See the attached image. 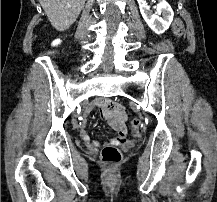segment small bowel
<instances>
[{"label":"small bowel","instance_id":"obj_1","mask_svg":"<svg viewBox=\"0 0 217 202\" xmlns=\"http://www.w3.org/2000/svg\"><path fill=\"white\" fill-rule=\"evenodd\" d=\"M100 109V112L103 113V116L107 118V121H109V126H112L115 137L111 138L109 141L106 142V144L111 145H123L126 142V116L123 112V104H118V101H97L93 104H91L86 113L85 117L96 107ZM123 112V114H121ZM80 137L83 139L85 144L89 146L93 150H97L101 143L97 140H91L89 135L86 131L81 130L80 131Z\"/></svg>","mask_w":217,"mask_h":202}]
</instances>
